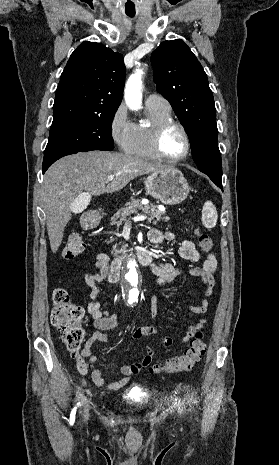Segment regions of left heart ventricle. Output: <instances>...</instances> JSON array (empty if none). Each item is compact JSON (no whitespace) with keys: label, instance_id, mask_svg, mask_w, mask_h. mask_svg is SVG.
I'll return each mask as SVG.
<instances>
[{"label":"left heart ventricle","instance_id":"1","mask_svg":"<svg viewBox=\"0 0 279 465\" xmlns=\"http://www.w3.org/2000/svg\"><path fill=\"white\" fill-rule=\"evenodd\" d=\"M161 149L168 157H176L183 153L185 142L177 127H170L164 132L161 139Z\"/></svg>","mask_w":279,"mask_h":465}]
</instances>
